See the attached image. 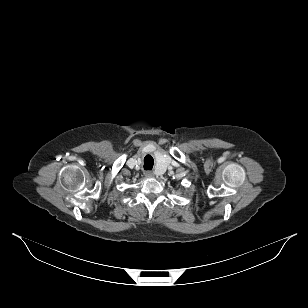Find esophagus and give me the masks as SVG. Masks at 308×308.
Instances as JSON below:
<instances>
[{"label": "esophagus", "mask_w": 308, "mask_h": 308, "mask_svg": "<svg viewBox=\"0 0 308 308\" xmlns=\"http://www.w3.org/2000/svg\"><path fill=\"white\" fill-rule=\"evenodd\" d=\"M145 176L148 177V178H151V177H153V172L148 170V171L145 172Z\"/></svg>", "instance_id": "34e87169"}]
</instances>
